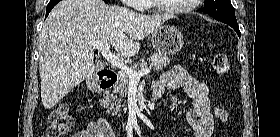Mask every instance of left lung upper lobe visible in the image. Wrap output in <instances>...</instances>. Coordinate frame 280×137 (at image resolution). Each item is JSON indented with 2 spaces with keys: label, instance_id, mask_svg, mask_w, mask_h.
I'll return each mask as SVG.
<instances>
[{
  "label": "left lung upper lobe",
  "instance_id": "5c2ea615",
  "mask_svg": "<svg viewBox=\"0 0 280 137\" xmlns=\"http://www.w3.org/2000/svg\"><path fill=\"white\" fill-rule=\"evenodd\" d=\"M199 10L218 21L237 23L235 10L230 0H205L204 7Z\"/></svg>",
  "mask_w": 280,
  "mask_h": 137
}]
</instances>
